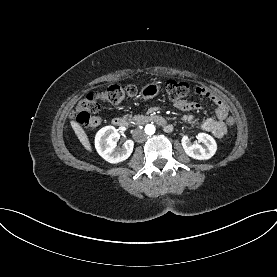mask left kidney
Segmentation results:
<instances>
[{
  "label": "left kidney",
  "mask_w": 277,
  "mask_h": 277,
  "mask_svg": "<svg viewBox=\"0 0 277 277\" xmlns=\"http://www.w3.org/2000/svg\"><path fill=\"white\" fill-rule=\"evenodd\" d=\"M198 140L203 142L204 145L192 144L187 136H183L181 142L185 153L197 160L210 159L217 150L216 141L212 136L206 133H199Z\"/></svg>",
  "instance_id": "5707ae66"
}]
</instances>
